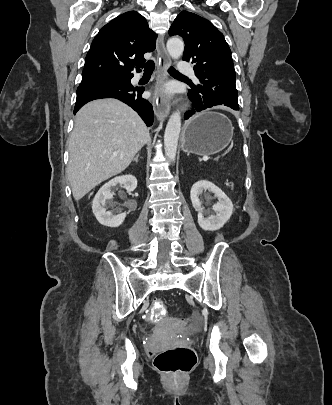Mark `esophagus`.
<instances>
[{
  "mask_svg": "<svg viewBox=\"0 0 332 405\" xmlns=\"http://www.w3.org/2000/svg\"><path fill=\"white\" fill-rule=\"evenodd\" d=\"M157 55L159 63V79H158V88L155 92L153 99L154 112L158 119L166 118L170 113V102L169 98L166 96L162 89V84L167 79V68L171 64L170 57L166 51L164 39L160 38L157 42Z\"/></svg>",
  "mask_w": 332,
  "mask_h": 405,
  "instance_id": "obj_1",
  "label": "esophagus"
}]
</instances>
